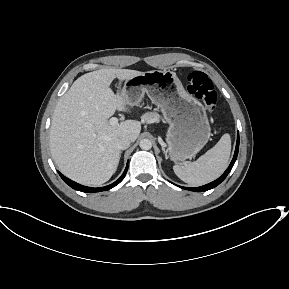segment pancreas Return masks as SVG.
I'll list each match as a JSON object with an SVG mask.
<instances>
[{
  "instance_id": "obj_1",
  "label": "pancreas",
  "mask_w": 289,
  "mask_h": 289,
  "mask_svg": "<svg viewBox=\"0 0 289 289\" xmlns=\"http://www.w3.org/2000/svg\"><path fill=\"white\" fill-rule=\"evenodd\" d=\"M160 116L156 112H150L143 115V120L148 123L159 121Z\"/></svg>"
}]
</instances>
